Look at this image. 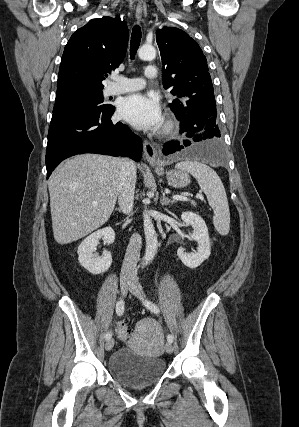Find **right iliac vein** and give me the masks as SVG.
<instances>
[{"mask_svg": "<svg viewBox=\"0 0 299 427\" xmlns=\"http://www.w3.org/2000/svg\"><path fill=\"white\" fill-rule=\"evenodd\" d=\"M130 280L126 277H122L120 280V286H121V292L123 296L127 295L128 289L130 287ZM114 347V339H109L107 340L106 344H105V349L106 351H110L112 350V348Z\"/></svg>", "mask_w": 299, "mask_h": 427, "instance_id": "right-iliac-vein-1", "label": "right iliac vein"}]
</instances>
